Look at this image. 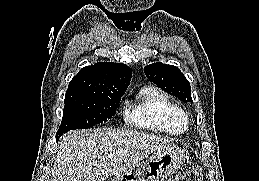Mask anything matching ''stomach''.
Returning <instances> with one entry per match:
<instances>
[{
	"label": "stomach",
	"mask_w": 259,
	"mask_h": 181,
	"mask_svg": "<svg viewBox=\"0 0 259 181\" xmlns=\"http://www.w3.org/2000/svg\"><path fill=\"white\" fill-rule=\"evenodd\" d=\"M183 151L175 145L156 151L145 162L114 177L113 181H166L182 165Z\"/></svg>",
	"instance_id": "1"
}]
</instances>
